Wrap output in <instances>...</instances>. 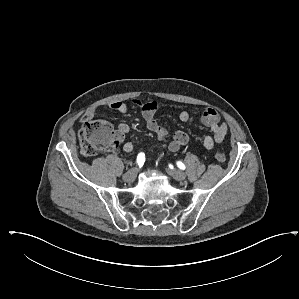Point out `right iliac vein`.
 I'll use <instances>...</instances> for the list:
<instances>
[{"label": "right iliac vein", "mask_w": 299, "mask_h": 299, "mask_svg": "<svg viewBox=\"0 0 299 299\" xmlns=\"http://www.w3.org/2000/svg\"><path fill=\"white\" fill-rule=\"evenodd\" d=\"M137 171H138L137 168L130 169L128 172H126L124 174L123 180L126 181V182H128V183L133 182L135 180V178H136Z\"/></svg>", "instance_id": "63e3f726"}]
</instances>
